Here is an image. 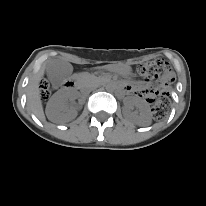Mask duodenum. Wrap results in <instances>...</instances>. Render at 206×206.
Wrapping results in <instances>:
<instances>
[{
	"instance_id": "duodenum-1",
	"label": "duodenum",
	"mask_w": 206,
	"mask_h": 206,
	"mask_svg": "<svg viewBox=\"0 0 206 206\" xmlns=\"http://www.w3.org/2000/svg\"><path fill=\"white\" fill-rule=\"evenodd\" d=\"M64 87L67 89H76L78 88V83L75 80L71 79L65 82Z\"/></svg>"
}]
</instances>
